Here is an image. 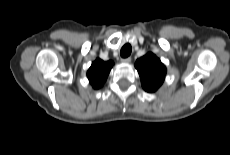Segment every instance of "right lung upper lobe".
<instances>
[{
    "instance_id": "right-lung-upper-lobe-1",
    "label": "right lung upper lobe",
    "mask_w": 230,
    "mask_h": 155,
    "mask_svg": "<svg viewBox=\"0 0 230 155\" xmlns=\"http://www.w3.org/2000/svg\"><path fill=\"white\" fill-rule=\"evenodd\" d=\"M112 66L113 62L111 60L104 62L99 58L92 63L87 72V77L94 89H99L103 86Z\"/></svg>"
}]
</instances>
